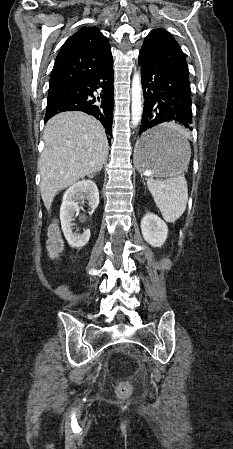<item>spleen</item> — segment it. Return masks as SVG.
Masks as SVG:
<instances>
[{
	"mask_svg": "<svg viewBox=\"0 0 233 449\" xmlns=\"http://www.w3.org/2000/svg\"><path fill=\"white\" fill-rule=\"evenodd\" d=\"M170 126L183 133V130L176 126ZM147 186L164 220L173 223L182 216L186 210L188 192L186 181L180 172L165 180L150 178L147 180Z\"/></svg>",
	"mask_w": 233,
	"mask_h": 449,
	"instance_id": "1",
	"label": "spleen"
}]
</instances>
